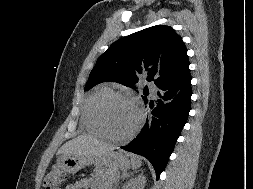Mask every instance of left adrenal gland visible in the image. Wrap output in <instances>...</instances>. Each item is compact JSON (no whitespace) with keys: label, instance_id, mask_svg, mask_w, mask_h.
<instances>
[{"label":"left adrenal gland","instance_id":"obj_1","mask_svg":"<svg viewBox=\"0 0 253 189\" xmlns=\"http://www.w3.org/2000/svg\"><path fill=\"white\" fill-rule=\"evenodd\" d=\"M131 175H133V173H123L122 176H121V179L127 178V177H129Z\"/></svg>","mask_w":253,"mask_h":189}]
</instances>
